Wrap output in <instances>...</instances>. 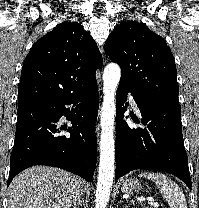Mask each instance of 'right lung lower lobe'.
I'll list each match as a JSON object with an SVG mask.
<instances>
[{
  "label": "right lung lower lobe",
  "instance_id": "98d812e1",
  "mask_svg": "<svg viewBox=\"0 0 199 208\" xmlns=\"http://www.w3.org/2000/svg\"><path fill=\"white\" fill-rule=\"evenodd\" d=\"M98 108L96 80L70 95L19 108L7 186L33 165L65 169L90 182L97 160ZM62 116L72 122L71 127L59 125ZM63 130L70 135H60Z\"/></svg>",
  "mask_w": 199,
  "mask_h": 208
}]
</instances>
